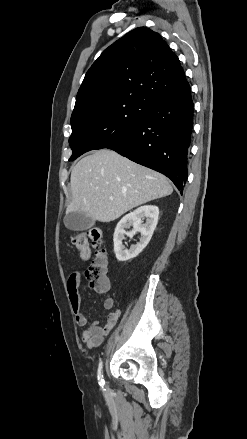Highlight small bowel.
<instances>
[{
  "label": "small bowel",
  "mask_w": 247,
  "mask_h": 439,
  "mask_svg": "<svg viewBox=\"0 0 247 439\" xmlns=\"http://www.w3.org/2000/svg\"><path fill=\"white\" fill-rule=\"evenodd\" d=\"M82 277L83 274L80 271H74L71 273L67 281L68 295L75 315L76 324L79 327H86L81 335L83 343L89 348H95L101 345L104 337L114 328L120 316V311L113 310L110 312L102 326L99 325L98 321H93L89 324L88 318L83 312L81 297L79 294ZM103 307L105 310H112L114 307V300L111 297L106 298L103 302Z\"/></svg>",
  "instance_id": "c3829d8e"
}]
</instances>
